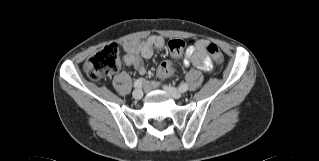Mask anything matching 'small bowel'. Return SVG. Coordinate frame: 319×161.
I'll return each mask as SVG.
<instances>
[{
    "mask_svg": "<svg viewBox=\"0 0 319 161\" xmlns=\"http://www.w3.org/2000/svg\"><path fill=\"white\" fill-rule=\"evenodd\" d=\"M207 45V41L200 40L195 48L187 50L183 58V65L185 67L192 65L205 71L210 70L212 68V62L206 50ZM164 46L165 39L160 35H151L141 42L126 43L123 45L126 54L122 57V62L128 66L134 67L139 74L146 75L147 68L144 65L142 58L152 57L154 49H162ZM173 72V67L168 65V67L162 71L159 69L158 74L160 78H166ZM158 84L159 81L152 82V85L154 86Z\"/></svg>",
    "mask_w": 319,
    "mask_h": 161,
    "instance_id": "c3829d8e",
    "label": "small bowel"
}]
</instances>
